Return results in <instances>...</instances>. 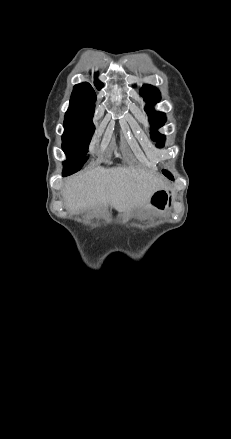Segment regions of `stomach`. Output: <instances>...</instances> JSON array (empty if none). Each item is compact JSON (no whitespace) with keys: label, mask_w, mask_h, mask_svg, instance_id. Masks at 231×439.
<instances>
[{"label":"stomach","mask_w":231,"mask_h":439,"mask_svg":"<svg viewBox=\"0 0 231 439\" xmlns=\"http://www.w3.org/2000/svg\"><path fill=\"white\" fill-rule=\"evenodd\" d=\"M167 194L164 190H157L146 202V207L164 210L167 207Z\"/></svg>","instance_id":"stomach-1"}]
</instances>
